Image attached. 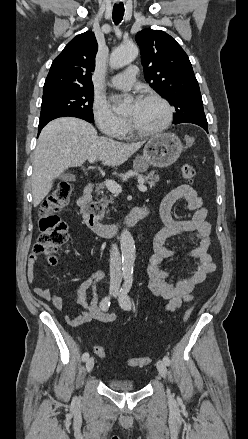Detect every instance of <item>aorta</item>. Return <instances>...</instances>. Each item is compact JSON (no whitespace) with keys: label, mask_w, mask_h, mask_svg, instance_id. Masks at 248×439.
Masks as SVG:
<instances>
[{"label":"aorta","mask_w":248,"mask_h":439,"mask_svg":"<svg viewBox=\"0 0 248 439\" xmlns=\"http://www.w3.org/2000/svg\"><path fill=\"white\" fill-rule=\"evenodd\" d=\"M139 53L135 44H125L116 48L110 56V67L119 69L131 63ZM126 103H121L115 111L124 110ZM120 247L122 252V272L124 276H131L135 262V243L129 230L124 229L120 235Z\"/></svg>","instance_id":"aorta-1"}]
</instances>
